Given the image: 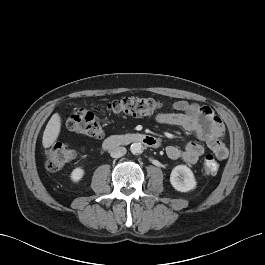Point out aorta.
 I'll list each match as a JSON object with an SVG mask.
<instances>
[{
  "mask_svg": "<svg viewBox=\"0 0 265 265\" xmlns=\"http://www.w3.org/2000/svg\"><path fill=\"white\" fill-rule=\"evenodd\" d=\"M132 154H141L143 152V145L140 142H134L130 146Z\"/></svg>",
  "mask_w": 265,
  "mask_h": 265,
  "instance_id": "aorta-1",
  "label": "aorta"
}]
</instances>
